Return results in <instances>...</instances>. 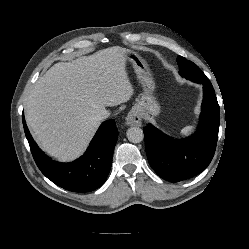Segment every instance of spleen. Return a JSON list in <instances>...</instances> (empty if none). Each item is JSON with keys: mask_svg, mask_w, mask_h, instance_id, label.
Instances as JSON below:
<instances>
[{"mask_svg": "<svg viewBox=\"0 0 249 249\" xmlns=\"http://www.w3.org/2000/svg\"><path fill=\"white\" fill-rule=\"evenodd\" d=\"M193 127L192 126H186L182 129L181 133L182 135H187L192 131Z\"/></svg>", "mask_w": 249, "mask_h": 249, "instance_id": "3e777b00", "label": "spleen"}]
</instances>
